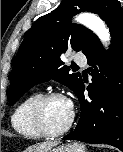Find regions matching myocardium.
I'll use <instances>...</instances> for the list:
<instances>
[{"mask_svg": "<svg viewBox=\"0 0 123 152\" xmlns=\"http://www.w3.org/2000/svg\"><path fill=\"white\" fill-rule=\"evenodd\" d=\"M55 98H67L59 92H48L42 94L34 103L31 109V121L36 130L44 137H58L66 133L72 126L75 118L74 110L71 109V115L68 122L59 130H51L47 127L44 119V109L46 104Z\"/></svg>", "mask_w": 123, "mask_h": 152, "instance_id": "obj_1", "label": "myocardium"}]
</instances>
